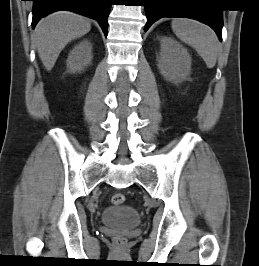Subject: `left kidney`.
Masks as SVG:
<instances>
[{"instance_id":"left-kidney-1","label":"left kidney","mask_w":259,"mask_h":266,"mask_svg":"<svg viewBox=\"0 0 259 266\" xmlns=\"http://www.w3.org/2000/svg\"><path fill=\"white\" fill-rule=\"evenodd\" d=\"M158 58L161 74L173 83L186 79L191 70V56L188 51L171 37H162Z\"/></svg>"}]
</instances>
